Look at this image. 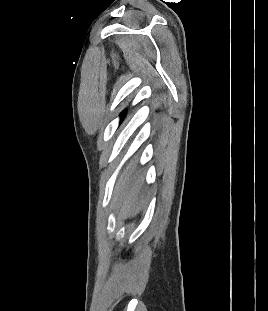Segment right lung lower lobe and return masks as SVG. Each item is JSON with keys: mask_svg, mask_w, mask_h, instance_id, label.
Segmentation results:
<instances>
[{"mask_svg": "<svg viewBox=\"0 0 268 311\" xmlns=\"http://www.w3.org/2000/svg\"><path fill=\"white\" fill-rule=\"evenodd\" d=\"M124 117H125V116H123V117L121 118V122L123 121Z\"/></svg>", "mask_w": 268, "mask_h": 311, "instance_id": "98d812e1", "label": "right lung lower lobe"}]
</instances>
